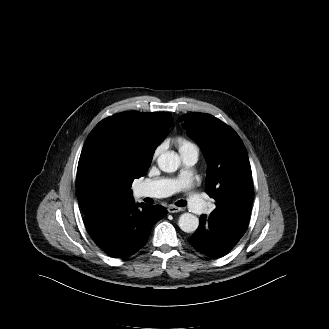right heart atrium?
Wrapping results in <instances>:
<instances>
[{
	"instance_id": "1",
	"label": "right heart atrium",
	"mask_w": 329,
	"mask_h": 329,
	"mask_svg": "<svg viewBox=\"0 0 329 329\" xmlns=\"http://www.w3.org/2000/svg\"><path fill=\"white\" fill-rule=\"evenodd\" d=\"M162 149H163V146L162 145L158 146L155 149L154 153H153V158H156L160 154V152L162 151Z\"/></svg>"
}]
</instances>
